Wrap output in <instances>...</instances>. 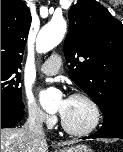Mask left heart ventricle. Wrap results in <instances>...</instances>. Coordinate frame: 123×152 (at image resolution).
<instances>
[{"label": "left heart ventricle", "instance_id": "obj_1", "mask_svg": "<svg viewBox=\"0 0 123 152\" xmlns=\"http://www.w3.org/2000/svg\"><path fill=\"white\" fill-rule=\"evenodd\" d=\"M57 108L66 124L73 129H85L93 121V110L85 100L69 98L65 103L60 101Z\"/></svg>", "mask_w": 123, "mask_h": 152}]
</instances>
